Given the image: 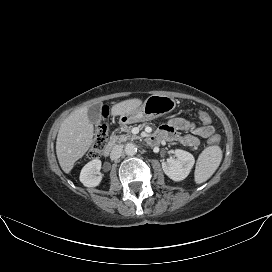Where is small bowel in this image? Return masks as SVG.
I'll return each instance as SVG.
<instances>
[{"label":"small bowel","instance_id":"small-bowel-1","mask_svg":"<svg viewBox=\"0 0 272 272\" xmlns=\"http://www.w3.org/2000/svg\"><path fill=\"white\" fill-rule=\"evenodd\" d=\"M181 131L187 132V134L181 135ZM213 134L214 128L211 125L198 126L184 118L176 117L162 125L153 135L152 139L154 142H158L162 139L177 141L182 145L193 148L199 145L200 138L208 139L211 138Z\"/></svg>","mask_w":272,"mask_h":272}]
</instances>
